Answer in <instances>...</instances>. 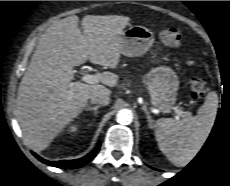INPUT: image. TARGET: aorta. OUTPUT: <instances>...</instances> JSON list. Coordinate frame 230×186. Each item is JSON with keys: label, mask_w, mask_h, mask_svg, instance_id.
I'll use <instances>...</instances> for the list:
<instances>
[{"label": "aorta", "mask_w": 230, "mask_h": 186, "mask_svg": "<svg viewBox=\"0 0 230 186\" xmlns=\"http://www.w3.org/2000/svg\"><path fill=\"white\" fill-rule=\"evenodd\" d=\"M117 122L122 125H128L133 120L132 112L129 109H121L116 114Z\"/></svg>", "instance_id": "1"}]
</instances>
